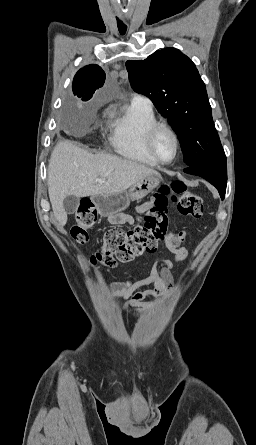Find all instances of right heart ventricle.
<instances>
[{
	"instance_id": "right-heart-ventricle-1",
	"label": "right heart ventricle",
	"mask_w": 256,
	"mask_h": 445,
	"mask_svg": "<svg viewBox=\"0 0 256 445\" xmlns=\"http://www.w3.org/2000/svg\"><path fill=\"white\" fill-rule=\"evenodd\" d=\"M157 121L151 105L132 102L120 115L109 120L110 144L129 160L155 166L157 163L146 148V133Z\"/></svg>"
}]
</instances>
